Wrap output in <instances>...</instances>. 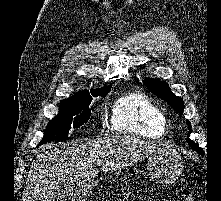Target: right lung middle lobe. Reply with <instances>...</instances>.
<instances>
[{"mask_svg": "<svg viewBox=\"0 0 221 201\" xmlns=\"http://www.w3.org/2000/svg\"><path fill=\"white\" fill-rule=\"evenodd\" d=\"M108 92L103 91L82 98H68L61 101L59 113L48 123L39 146L49 141L67 140L71 128H78L90 119L91 110L89 105L92 101V96L105 97Z\"/></svg>", "mask_w": 221, "mask_h": 201, "instance_id": "right-lung-middle-lobe-1", "label": "right lung middle lobe"}]
</instances>
